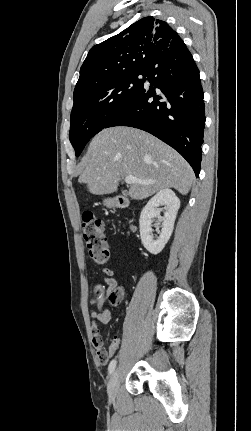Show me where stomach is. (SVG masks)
I'll list each match as a JSON object with an SVG mask.
<instances>
[{"mask_svg":"<svg viewBox=\"0 0 251 431\" xmlns=\"http://www.w3.org/2000/svg\"><path fill=\"white\" fill-rule=\"evenodd\" d=\"M104 204L106 205V206H108V207H112L113 206V202H112V200H105L104 201Z\"/></svg>","mask_w":251,"mask_h":431,"instance_id":"1","label":"stomach"}]
</instances>
